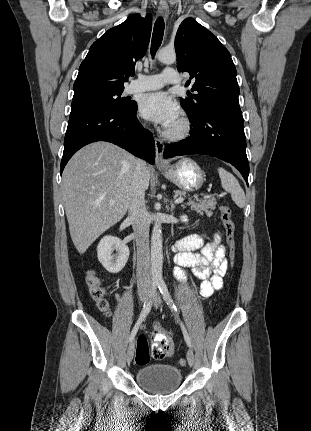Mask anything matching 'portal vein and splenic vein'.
<instances>
[{
    "instance_id": "1",
    "label": "portal vein and splenic vein",
    "mask_w": 311,
    "mask_h": 431,
    "mask_svg": "<svg viewBox=\"0 0 311 431\" xmlns=\"http://www.w3.org/2000/svg\"><path fill=\"white\" fill-rule=\"evenodd\" d=\"M185 198H177V200H175L174 204H182V202H184ZM110 206H114V202H109Z\"/></svg>"
}]
</instances>
